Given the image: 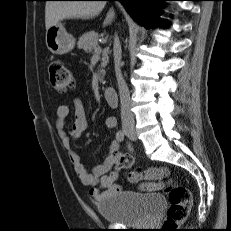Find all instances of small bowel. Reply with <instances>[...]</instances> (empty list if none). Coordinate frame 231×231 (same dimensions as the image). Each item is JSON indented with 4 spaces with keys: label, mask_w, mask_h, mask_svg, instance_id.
I'll return each instance as SVG.
<instances>
[{
    "label": "small bowel",
    "mask_w": 231,
    "mask_h": 231,
    "mask_svg": "<svg viewBox=\"0 0 231 231\" xmlns=\"http://www.w3.org/2000/svg\"><path fill=\"white\" fill-rule=\"evenodd\" d=\"M74 121L68 131L65 123L70 115L68 105H60L56 113V128L61 140L62 147L67 153L70 164L74 167L79 181L90 188L89 194L95 201L123 191V186L118 183L121 167L117 164L114 153L119 150L120 142L115 139L109 147V154L103 162L88 170L80 160L79 155L72 149V141L79 140L87 128V113L83 102L75 99ZM104 126L113 129L116 126V119L113 116L106 117ZM161 183L144 182L140 184L139 190L144 192H155L162 189Z\"/></svg>",
    "instance_id": "small-bowel-1"
}]
</instances>
